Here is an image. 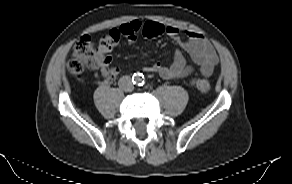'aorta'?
<instances>
[{"label":"aorta","instance_id":"1","mask_svg":"<svg viewBox=\"0 0 292 184\" xmlns=\"http://www.w3.org/2000/svg\"><path fill=\"white\" fill-rule=\"evenodd\" d=\"M141 80V78L139 76L135 77V81L139 82Z\"/></svg>","mask_w":292,"mask_h":184}]
</instances>
